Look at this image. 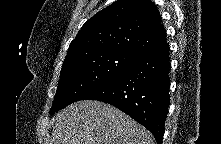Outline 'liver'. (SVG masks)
Wrapping results in <instances>:
<instances>
[{"instance_id":"obj_1","label":"liver","mask_w":221,"mask_h":144,"mask_svg":"<svg viewBox=\"0 0 221 144\" xmlns=\"http://www.w3.org/2000/svg\"><path fill=\"white\" fill-rule=\"evenodd\" d=\"M51 144H154L150 133L112 105L78 101L53 117Z\"/></svg>"}]
</instances>
